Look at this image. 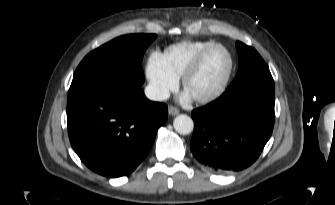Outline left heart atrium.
<instances>
[{"label":"left heart atrium","mask_w":335,"mask_h":205,"mask_svg":"<svg viewBox=\"0 0 335 205\" xmlns=\"http://www.w3.org/2000/svg\"><path fill=\"white\" fill-rule=\"evenodd\" d=\"M190 95L188 93L185 94V98L188 99Z\"/></svg>","instance_id":"obj_1"}]
</instances>
